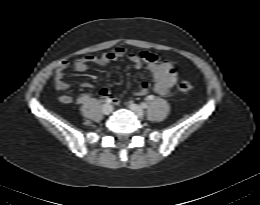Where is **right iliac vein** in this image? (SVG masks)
<instances>
[{
  "mask_svg": "<svg viewBox=\"0 0 260 205\" xmlns=\"http://www.w3.org/2000/svg\"><path fill=\"white\" fill-rule=\"evenodd\" d=\"M112 110H113V108H112V106L110 104H105L102 107V112L105 115H109L112 112Z\"/></svg>",
  "mask_w": 260,
  "mask_h": 205,
  "instance_id": "1",
  "label": "right iliac vein"
}]
</instances>
